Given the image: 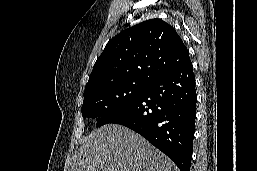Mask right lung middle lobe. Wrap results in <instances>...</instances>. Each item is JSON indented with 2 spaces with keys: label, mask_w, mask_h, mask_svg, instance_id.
Returning <instances> with one entry per match:
<instances>
[{
  "label": "right lung middle lobe",
  "mask_w": 257,
  "mask_h": 171,
  "mask_svg": "<svg viewBox=\"0 0 257 171\" xmlns=\"http://www.w3.org/2000/svg\"><path fill=\"white\" fill-rule=\"evenodd\" d=\"M149 84L117 83L95 88L84 93L83 117H97V126L105 122L132 103Z\"/></svg>",
  "instance_id": "obj_1"
}]
</instances>
